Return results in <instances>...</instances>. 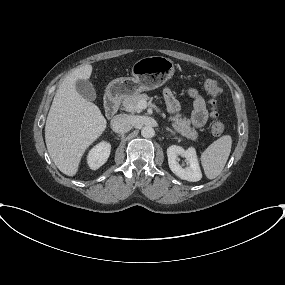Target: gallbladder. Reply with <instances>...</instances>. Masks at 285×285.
<instances>
[{"label": "gallbladder", "instance_id": "1", "mask_svg": "<svg viewBox=\"0 0 285 285\" xmlns=\"http://www.w3.org/2000/svg\"><path fill=\"white\" fill-rule=\"evenodd\" d=\"M77 92L86 100L95 101L96 91L89 80H77L76 81Z\"/></svg>", "mask_w": 285, "mask_h": 285}]
</instances>
